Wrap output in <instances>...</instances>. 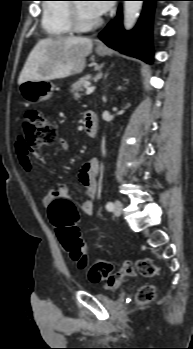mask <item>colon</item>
I'll return each instance as SVG.
<instances>
[{
    "label": "colon",
    "mask_w": 193,
    "mask_h": 349,
    "mask_svg": "<svg viewBox=\"0 0 193 349\" xmlns=\"http://www.w3.org/2000/svg\"><path fill=\"white\" fill-rule=\"evenodd\" d=\"M56 138L55 126L41 111L30 109L25 113L23 139L29 154L52 144ZM48 215L62 246L72 261L80 269H87L91 281L108 280L113 271V264L102 259L90 261L85 245L80 238L79 213L76 205L69 199H55L48 206ZM136 269L144 277H155L158 274V268L150 258L137 260ZM155 291L153 285L142 286L136 296L137 303L150 302L155 297Z\"/></svg>",
    "instance_id": "colon-1"
}]
</instances>
